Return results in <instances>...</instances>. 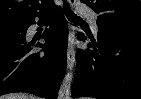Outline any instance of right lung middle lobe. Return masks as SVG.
<instances>
[{"mask_svg":"<svg viewBox=\"0 0 141 99\" xmlns=\"http://www.w3.org/2000/svg\"><path fill=\"white\" fill-rule=\"evenodd\" d=\"M17 21H5V22H0V28L2 27H7L11 25H16Z\"/></svg>","mask_w":141,"mask_h":99,"instance_id":"right-lung-middle-lobe-1","label":"right lung middle lobe"}]
</instances>
